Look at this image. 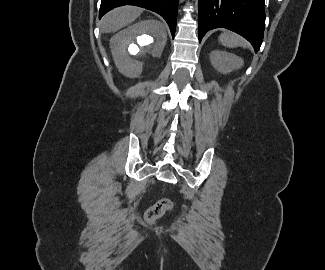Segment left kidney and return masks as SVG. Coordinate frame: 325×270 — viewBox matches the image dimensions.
<instances>
[{"mask_svg": "<svg viewBox=\"0 0 325 270\" xmlns=\"http://www.w3.org/2000/svg\"><path fill=\"white\" fill-rule=\"evenodd\" d=\"M210 61L212 66L223 74L240 69L244 64L242 58L236 56L235 54L218 50L210 53Z\"/></svg>", "mask_w": 325, "mask_h": 270, "instance_id": "5707ae66", "label": "left kidney"}]
</instances>
